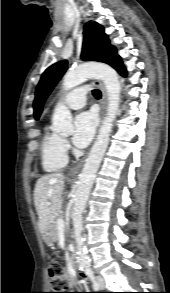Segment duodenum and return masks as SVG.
<instances>
[{
    "mask_svg": "<svg viewBox=\"0 0 170 293\" xmlns=\"http://www.w3.org/2000/svg\"><path fill=\"white\" fill-rule=\"evenodd\" d=\"M71 263H72V266L75 270L79 269V264H78V261L75 257H72Z\"/></svg>",
    "mask_w": 170,
    "mask_h": 293,
    "instance_id": "410a0bca",
    "label": "duodenum"
}]
</instances>
